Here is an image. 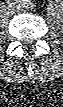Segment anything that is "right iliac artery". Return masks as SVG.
Here are the masks:
<instances>
[{
    "instance_id": "obj_1",
    "label": "right iliac artery",
    "mask_w": 63,
    "mask_h": 107,
    "mask_svg": "<svg viewBox=\"0 0 63 107\" xmlns=\"http://www.w3.org/2000/svg\"><path fill=\"white\" fill-rule=\"evenodd\" d=\"M7 3H9V4H13V2H11V0H8V2ZM24 7V6H23Z\"/></svg>"
}]
</instances>
